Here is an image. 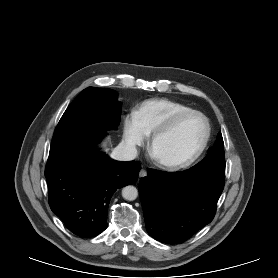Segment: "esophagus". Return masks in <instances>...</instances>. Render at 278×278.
Returning a JSON list of instances; mask_svg holds the SVG:
<instances>
[{
  "label": "esophagus",
  "mask_w": 278,
  "mask_h": 278,
  "mask_svg": "<svg viewBox=\"0 0 278 278\" xmlns=\"http://www.w3.org/2000/svg\"><path fill=\"white\" fill-rule=\"evenodd\" d=\"M147 176V171L145 169H141L139 172V178H143Z\"/></svg>",
  "instance_id": "obj_1"
}]
</instances>
